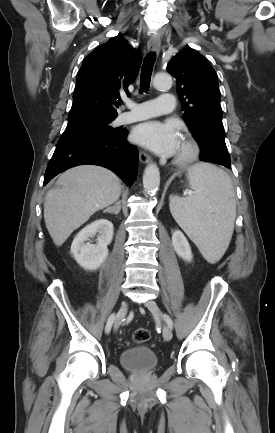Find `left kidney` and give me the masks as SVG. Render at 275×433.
I'll use <instances>...</instances> for the list:
<instances>
[{
  "mask_svg": "<svg viewBox=\"0 0 275 433\" xmlns=\"http://www.w3.org/2000/svg\"><path fill=\"white\" fill-rule=\"evenodd\" d=\"M172 245L175 252L186 261H191L193 256L188 240L180 230H176L172 235Z\"/></svg>",
  "mask_w": 275,
  "mask_h": 433,
  "instance_id": "5707ae66",
  "label": "left kidney"
}]
</instances>
